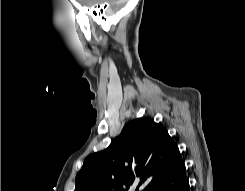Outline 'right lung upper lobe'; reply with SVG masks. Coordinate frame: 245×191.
Here are the masks:
<instances>
[{
  "label": "right lung upper lobe",
  "instance_id": "right-lung-upper-lobe-1",
  "mask_svg": "<svg viewBox=\"0 0 245 191\" xmlns=\"http://www.w3.org/2000/svg\"><path fill=\"white\" fill-rule=\"evenodd\" d=\"M184 166L166 129L150 118L130 121L103 151L89 155L78 172L74 191H128L138 183L152 191Z\"/></svg>",
  "mask_w": 245,
  "mask_h": 191
}]
</instances>
